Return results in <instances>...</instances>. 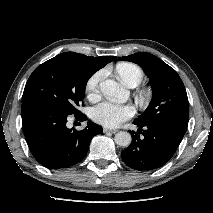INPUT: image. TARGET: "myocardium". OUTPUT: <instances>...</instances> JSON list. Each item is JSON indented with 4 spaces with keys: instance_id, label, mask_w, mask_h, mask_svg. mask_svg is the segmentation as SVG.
Returning a JSON list of instances; mask_svg holds the SVG:
<instances>
[{
    "instance_id": "1",
    "label": "myocardium",
    "mask_w": 213,
    "mask_h": 213,
    "mask_svg": "<svg viewBox=\"0 0 213 213\" xmlns=\"http://www.w3.org/2000/svg\"><path fill=\"white\" fill-rule=\"evenodd\" d=\"M141 94H142V96H143V97H145V96H146V94H147V92H146V91H142V93H141Z\"/></svg>"
}]
</instances>
